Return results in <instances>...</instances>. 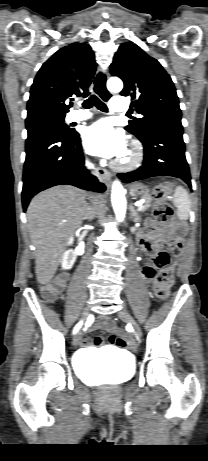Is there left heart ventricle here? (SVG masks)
Here are the masks:
<instances>
[{"instance_id":"b2bd125f","label":"left heart ventricle","mask_w":208,"mask_h":461,"mask_svg":"<svg viewBox=\"0 0 208 461\" xmlns=\"http://www.w3.org/2000/svg\"><path fill=\"white\" fill-rule=\"evenodd\" d=\"M125 157H126V151L124 152L121 158H125Z\"/></svg>"}]
</instances>
